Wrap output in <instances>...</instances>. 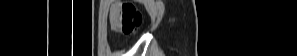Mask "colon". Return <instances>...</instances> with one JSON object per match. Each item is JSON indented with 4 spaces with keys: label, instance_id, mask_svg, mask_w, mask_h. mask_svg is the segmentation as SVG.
Segmentation results:
<instances>
[{
    "label": "colon",
    "instance_id": "colon-1",
    "mask_svg": "<svg viewBox=\"0 0 297 56\" xmlns=\"http://www.w3.org/2000/svg\"><path fill=\"white\" fill-rule=\"evenodd\" d=\"M117 11L120 19L119 31L125 35L135 33L142 22L141 12L130 2L119 4Z\"/></svg>",
    "mask_w": 297,
    "mask_h": 56
}]
</instances>
